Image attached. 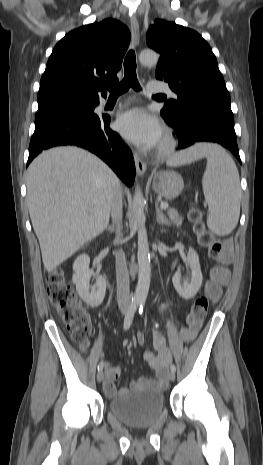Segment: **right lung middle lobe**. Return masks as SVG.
I'll return each mask as SVG.
<instances>
[{"instance_id":"1","label":"right lung middle lobe","mask_w":263,"mask_h":465,"mask_svg":"<svg viewBox=\"0 0 263 465\" xmlns=\"http://www.w3.org/2000/svg\"><path fill=\"white\" fill-rule=\"evenodd\" d=\"M98 99L63 96L38 101L36 117L54 111L94 112Z\"/></svg>"}]
</instances>
